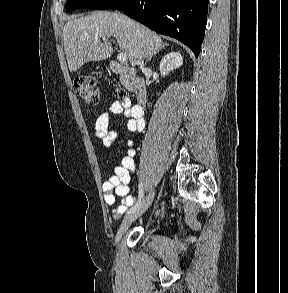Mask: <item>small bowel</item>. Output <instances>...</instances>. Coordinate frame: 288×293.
Instances as JSON below:
<instances>
[{"label":"small bowel","mask_w":288,"mask_h":293,"mask_svg":"<svg viewBox=\"0 0 288 293\" xmlns=\"http://www.w3.org/2000/svg\"><path fill=\"white\" fill-rule=\"evenodd\" d=\"M123 114L128 118L127 128L131 132H142L145 128L143 109L139 105H132L130 99L121 98L108 105L105 111L100 114L95 122V137L100 140L103 149L108 150L112 147L114 140L118 137V131L110 129V124L114 115ZM128 150L119 164H115L116 159L111 158L113 164V174L103 183L105 203L112 208L114 217L123 215L135 201L129 195V183L135 170L136 150L133 142L128 141ZM116 197H121V204L115 206Z\"/></svg>","instance_id":"1"}]
</instances>
